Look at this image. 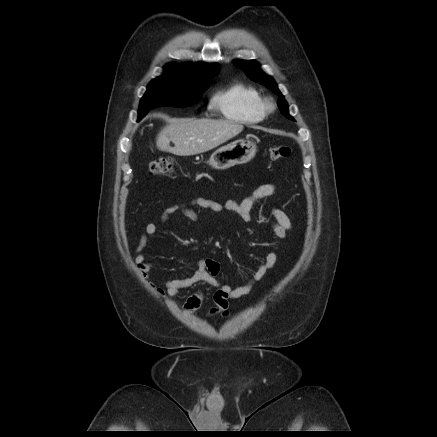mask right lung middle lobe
Masks as SVG:
<instances>
[{
    "instance_id": "dd1d6c3e",
    "label": "right lung middle lobe",
    "mask_w": 437,
    "mask_h": 437,
    "mask_svg": "<svg viewBox=\"0 0 437 437\" xmlns=\"http://www.w3.org/2000/svg\"><path fill=\"white\" fill-rule=\"evenodd\" d=\"M210 84L211 80L189 83L168 77H158L149 83L147 91L140 101L138 120L155 107L191 106L197 102Z\"/></svg>"
}]
</instances>
